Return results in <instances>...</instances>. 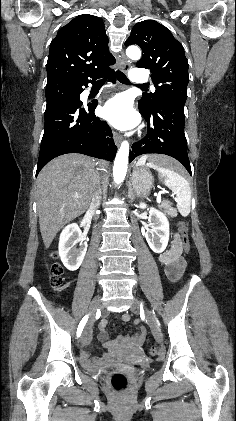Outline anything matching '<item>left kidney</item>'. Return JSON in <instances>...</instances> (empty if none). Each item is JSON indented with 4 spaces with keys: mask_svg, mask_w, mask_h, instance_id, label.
<instances>
[{
    "mask_svg": "<svg viewBox=\"0 0 236 421\" xmlns=\"http://www.w3.org/2000/svg\"><path fill=\"white\" fill-rule=\"evenodd\" d=\"M140 206L141 208H147L145 202H140ZM148 221L151 229L145 235L146 241L154 253H163L168 245L170 233L167 217L157 211V208L151 206Z\"/></svg>",
    "mask_w": 236,
    "mask_h": 421,
    "instance_id": "obj_1",
    "label": "left kidney"
}]
</instances>
